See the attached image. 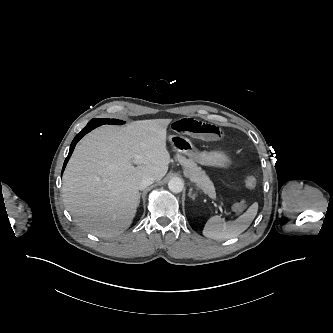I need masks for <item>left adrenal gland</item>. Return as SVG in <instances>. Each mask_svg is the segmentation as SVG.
<instances>
[{"mask_svg": "<svg viewBox=\"0 0 333 333\" xmlns=\"http://www.w3.org/2000/svg\"><path fill=\"white\" fill-rule=\"evenodd\" d=\"M191 194H192V188H190V190H189V196H190L192 199H195L196 194H193V195H191Z\"/></svg>", "mask_w": 333, "mask_h": 333, "instance_id": "left-adrenal-gland-1", "label": "left adrenal gland"}]
</instances>
